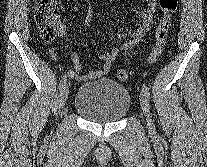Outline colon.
Returning <instances> with one entry per match:
<instances>
[{"label":"colon","mask_w":207,"mask_h":167,"mask_svg":"<svg viewBox=\"0 0 207 167\" xmlns=\"http://www.w3.org/2000/svg\"><path fill=\"white\" fill-rule=\"evenodd\" d=\"M59 0H35L34 16L39 25L42 39L47 43L54 42L60 35V19L58 15ZM159 7L162 13L156 30L155 43L149 53L148 61L155 63L163 53L167 37L172 25V18L178 9V0H159ZM132 72L127 69L117 71L120 80H127Z\"/></svg>","instance_id":"colon-1"}]
</instances>
